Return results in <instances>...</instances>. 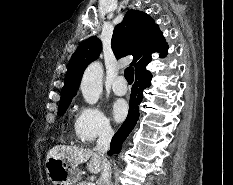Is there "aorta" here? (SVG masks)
Masks as SVG:
<instances>
[{"mask_svg": "<svg viewBox=\"0 0 233 185\" xmlns=\"http://www.w3.org/2000/svg\"><path fill=\"white\" fill-rule=\"evenodd\" d=\"M103 68L99 62L90 64L85 70L80 89L85 101L89 104H95L102 93Z\"/></svg>", "mask_w": 233, "mask_h": 185, "instance_id": "aorta-1", "label": "aorta"}]
</instances>
